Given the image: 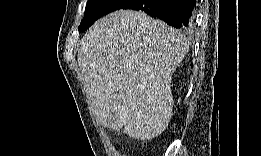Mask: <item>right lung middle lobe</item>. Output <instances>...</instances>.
Here are the masks:
<instances>
[{
  "instance_id": "obj_1",
  "label": "right lung middle lobe",
  "mask_w": 261,
  "mask_h": 156,
  "mask_svg": "<svg viewBox=\"0 0 261 156\" xmlns=\"http://www.w3.org/2000/svg\"><path fill=\"white\" fill-rule=\"evenodd\" d=\"M128 2L129 0H89L78 30L81 32L87 30L101 16L120 9Z\"/></svg>"
}]
</instances>
